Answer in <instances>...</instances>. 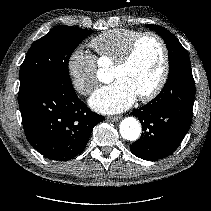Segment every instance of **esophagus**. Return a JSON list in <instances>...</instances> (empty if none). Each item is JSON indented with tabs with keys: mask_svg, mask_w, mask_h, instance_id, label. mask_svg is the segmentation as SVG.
I'll list each match as a JSON object with an SVG mask.
<instances>
[{
	"mask_svg": "<svg viewBox=\"0 0 211 211\" xmlns=\"http://www.w3.org/2000/svg\"><path fill=\"white\" fill-rule=\"evenodd\" d=\"M122 117L121 116H109L108 120L111 122L119 121Z\"/></svg>",
	"mask_w": 211,
	"mask_h": 211,
	"instance_id": "esophagus-1",
	"label": "esophagus"
}]
</instances>
